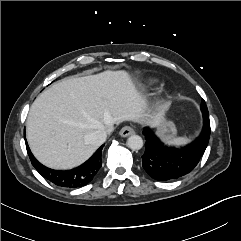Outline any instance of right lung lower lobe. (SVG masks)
<instances>
[{"label":"right lung lower lobe","instance_id":"98d812e1","mask_svg":"<svg viewBox=\"0 0 241 241\" xmlns=\"http://www.w3.org/2000/svg\"><path fill=\"white\" fill-rule=\"evenodd\" d=\"M26 148L28 155L30 157L31 163L36 168V170L46 179L50 181H56L57 184L61 187L67 188H77L82 187L88 184L93 177L97 174L100 167L102 166L101 161V154H102V145L94 154L93 156L83 163L81 166L67 171H57L49 169L43 166L40 162L36 160V158L31 153L27 141Z\"/></svg>","mask_w":241,"mask_h":241}]
</instances>
